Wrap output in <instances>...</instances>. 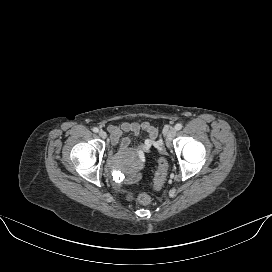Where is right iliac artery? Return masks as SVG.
<instances>
[{
	"instance_id": "obj_1",
	"label": "right iliac artery",
	"mask_w": 272,
	"mask_h": 272,
	"mask_svg": "<svg viewBox=\"0 0 272 272\" xmlns=\"http://www.w3.org/2000/svg\"><path fill=\"white\" fill-rule=\"evenodd\" d=\"M98 131H99L98 128H96V127L93 128V132L97 133Z\"/></svg>"
}]
</instances>
